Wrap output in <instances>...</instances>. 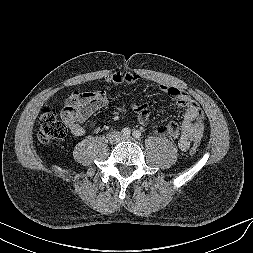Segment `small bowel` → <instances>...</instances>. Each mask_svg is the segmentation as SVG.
<instances>
[{"mask_svg":"<svg viewBox=\"0 0 253 253\" xmlns=\"http://www.w3.org/2000/svg\"><path fill=\"white\" fill-rule=\"evenodd\" d=\"M141 77L129 71H117L111 74L107 81L111 83L135 84ZM162 92L174 99L184 111L183 121L179 126L176 122H170L164 128L156 130L155 134L167 135L177 142L182 151L188 150L192 142L198 141L204 132V115L196 103L187 93L174 85L162 83L159 85ZM109 103L107 94L103 90L85 92L76 90L68 96L62 110V118L75 136L85 134L82 126L93 113L106 107ZM134 110L141 125L147 127L150 118V106L146 102L134 105ZM96 125L92 123V127Z\"/></svg>","mask_w":253,"mask_h":253,"instance_id":"1","label":"small bowel"}]
</instances>
